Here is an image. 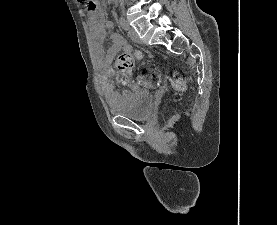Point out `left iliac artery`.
<instances>
[{"instance_id":"44dca946","label":"left iliac artery","mask_w":277,"mask_h":225,"mask_svg":"<svg viewBox=\"0 0 277 225\" xmlns=\"http://www.w3.org/2000/svg\"><path fill=\"white\" fill-rule=\"evenodd\" d=\"M120 25L124 30H128L129 29V25L127 23V21L123 18H120Z\"/></svg>"}]
</instances>
